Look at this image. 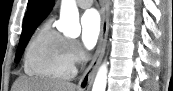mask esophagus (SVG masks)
<instances>
[{
	"instance_id": "esophagus-1",
	"label": "esophagus",
	"mask_w": 173,
	"mask_h": 91,
	"mask_svg": "<svg viewBox=\"0 0 173 91\" xmlns=\"http://www.w3.org/2000/svg\"><path fill=\"white\" fill-rule=\"evenodd\" d=\"M100 13H101V33L99 36V42L96 49V52L84 71L80 81H79V89L80 91H89L92 83L94 81L96 72L99 68V65L102 61V58L105 53L108 30H109V1L108 0H100Z\"/></svg>"
}]
</instances>
